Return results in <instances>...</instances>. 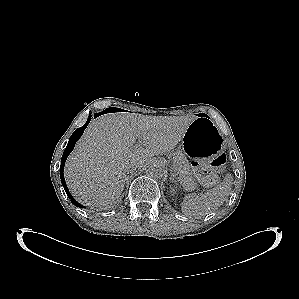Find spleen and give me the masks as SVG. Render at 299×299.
<instances>
[{"label": "spleen", "mask_w": 299, "mask_h": 299, "mask_svg": "<svg viewBox=\"0 0 299 299\" xmlns=\"http://www.w3.org/2000/svg\"><path fill=\"white\" fill-rule=\"evenodd\" d=\"M232 180V176L228 174L221 184L205 193L185 195L181 203L182 212L188 217L199 219L216 210L229 196Z\"/></svg>", "instance_id": "obj_1"}]
</instances>
